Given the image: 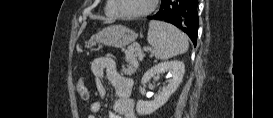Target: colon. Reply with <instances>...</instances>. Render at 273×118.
<instances>
[{"label":"colon","mask_w":273,"mask_h":118,"mask_svg":"<svg viewBox=\"0 0 273 118\" xmlns=\"http://www.w3.org/2000/svg\"><path fill=\"white\" fill-rule=\"evenodd\" d=\"M76 92L82 98L85 97L88 93L86 84L83 80H79L76 84Z\"/></svg>","instance_id":"1"}]
</instances>
